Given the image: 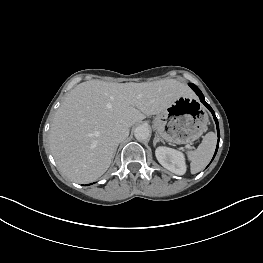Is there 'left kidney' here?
Instances as JSON below:
<instances>
[{
	"label": "left kidney",
	"instance_id": "left-kidney-1",
	"mask_svg": "<svg viewBox=\"0 0 263 263\" xmlns=\"http://www.w3.org/2000/svg\"><path fill=\"white\" fill-rule=\"evenodd\" d=\"M158 162L167 170L177 175H183L186 172L185 157L182 152L175 149L160 146L155 150Z\"/></svg>",
	"mask_w": 263,
	"mask_h": 263
}]
</instances>
